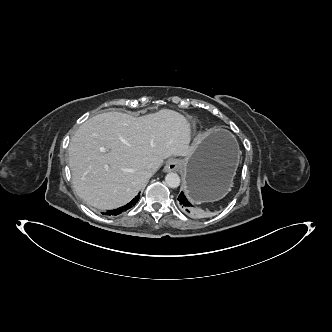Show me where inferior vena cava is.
<instances>
[{"instance_id": "inferior-vena-cava-1", "label": "inferior vena cava", "mask_w": 332, "mask_h": 332, "mask_svg": "<svg viewBox=\"0 0 332 332\" xmlns=\"http://www.w3.org/2000/svg\"><path fill=\"white\" fill-rule=\"evenodd\" d=\"M148 172H149V174L152 175L155 172V167L153 165H149L148 166Z\"/></svg>"}]
</instances>
